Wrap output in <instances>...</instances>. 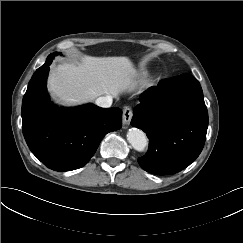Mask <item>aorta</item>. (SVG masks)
<instances>
[{
	"instance_id": "1",
	"label": "aorta",
	"mask_w": 243,
	"mask_h": 243,
	"mask_svg": "<svg viewBox=\"0 0 243 243\" xmlns=\"http://www.w3.org/2000/svg\"><path fill=\"white\" fill-rule=\"evenodd\" d=\"M127 140L135 150L140 152L144 151L145 147L148 144L145 133L137 128L129 129L127 133Z\"/></svg>"
}]
</instances>
